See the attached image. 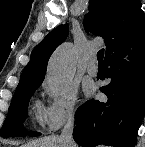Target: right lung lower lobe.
<instances>
[{
    "mask_svg": "<svg viewBox=\"0 0 145 147\" xmlns=\"http://www.w3.org/2000/svg\"><path fill=\"white\" fill-rule=\"evenodd\" d=\"M111 82L100 91L107 101L89 100L76 112L74 140L81 146L134 147L145 113V25L106 58Z\"/></svg>",
    "mask_w": 145,
    "mask_h": 147,
    "instance_id": "1",
    "label": "right lung lower lobe"
}]
</instances>
